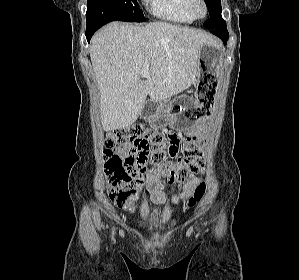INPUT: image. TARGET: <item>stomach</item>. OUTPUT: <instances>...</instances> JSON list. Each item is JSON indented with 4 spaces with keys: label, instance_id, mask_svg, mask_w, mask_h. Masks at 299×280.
I'll list each match as a JSON object with an SVG mask.
<instances>
[{
    "label": "stomach",
    "instance_id": "obj_1",
    "mask_svg": "<svg viewBox=\"0 0 299 280\" xmlns=\"http://www.w3.org/2000/svg\"><path fill=\"white\" fill-rule=\"evenodd\" d=\"M222 60L223 54L217 45H203L198 59L194 97L181 96L171 102L147 104L141 116L157 129L170 125L187 130L199 120L197 116L209 115L218 97V70Z\"/></svg>",
    "mask_w": 299,
    "mask_h": 280
}]
</instances>
